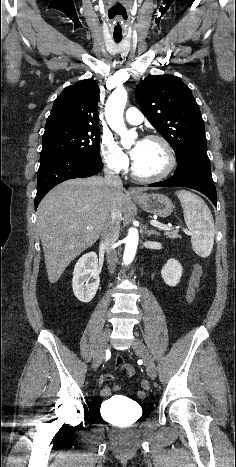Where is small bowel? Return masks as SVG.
<instances>
[{"mask_svg": "<svg viewBox=\"0 0 236 467\" xmlns=\"http://www.w3.org/2000/svg\"><path fill=\"white\" fill-rule=\"evenodd\" d=\"M198 289H199V285H198L197 288L195 289L194 294H196V292L198 291ZM188 291H189V289H188ZM113 369H114V370H116V369H121L122 372L124 373V375H125L126 377H129V378H130V377H133L134 374H135V369H134V367H133L131 364L125 362V361L123 360V358L120 357V356H117V357L115 358V360H114V365H113ZM113 378H114V374H113V373H107V374H104V375L101 376V378H100V384L102 385L101 392H100V393H101V396H103V397H108V396L111 395V393H112L113 391H117V390L120 389V386H118V385H117V386H114V387H112V388L105 386V384L108 383V382H110V381H112Z\"/></svg>", "mask_w": 236, "mask_h": 467, "instance_id": "obj_1", "label": "small bowel"}]
</instances>
